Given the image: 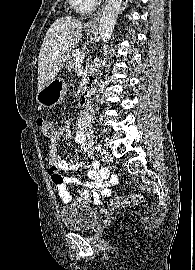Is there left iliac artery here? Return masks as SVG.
<instances>
[{"instance_id":"left-iliac-artery-1","label":"left iliac artery","mask_w":195,"mask_h":270,"mask_svg":"<svg viewBox=\"0 0 195 270\" xmlns=\"http://www.w3.org/2000/svg\"><path fill=\"white\" fill-rule=\"evenodd\" d=\"M96 149H97L98 152H100V153L102 152V148H101L100 145H98V146L96 147Z\"/></svg>"}]
</instances>
